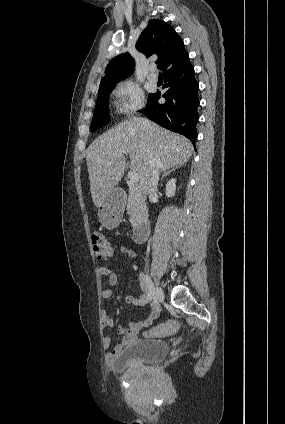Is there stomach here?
<instances>
[{
	"label": "stomach",
	"instance_id": "stomach-1",
	"mask_svg": "<svg viewBox=\"0 0 285 424\" xmlns=\"http://www.w3.org/2000/svg\"><path fill=\"white\" fill-rule=\"evenodd\" d=\"M125 200L111 192L98 207L99 221L108 229L116 227L123 215Z\"/></svg>",
	"mask_w": 285,
	"mask_h": 424
}]
</instances>
